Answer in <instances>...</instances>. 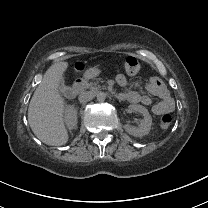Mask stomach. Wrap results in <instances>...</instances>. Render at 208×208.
Listing matches in <instances>:
<instances>
[{"instance_id":"stomach-1","label":"stomach","mask_w":208,"mask_h":208,"mask_svg":"<svg viewBox=\"0 0 208 208\" xmlns=\"http://www.w3.org/2000/svg\"><path fill=\"white\" fill-rule=\"evenodd\" d=\"M100 72H101L100 69H98L97 67L89 68L84 73V77H85V79H92V78L98 76L100 74Z\"/></svg>"}]
</instances>
